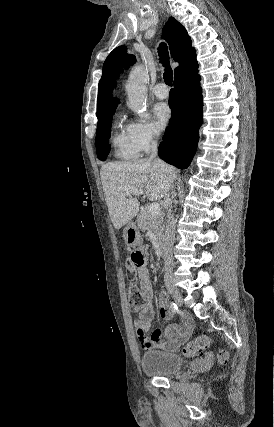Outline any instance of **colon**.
<instances>
[{"instance_id":"obj_1","label":"colon","mask_w":274,"mask_h":427,"mask_svg":"<svg viewBox=\"0 0 274 427\" xmlns=\"http://www.w3.org/2000/svg\"><path fill=\"white\" fill-rule=\"evenodd\" d=\"M130 264L127 266V271L132 274L135 266L142 265L145 262V255L143 252L136 250L131 252L129 256ZM143 301V294L141 288L138 286L135 279H131V285L129 288V300L128 306L132 309L138 308ZM146 342V341H145ZM211 344V336L208 334H200L193 340L187 342L183 347V353L185 356L190 357L198 352L207 349ZM230 358V354L226 350H220L218 353V361L220 363H226Z\"/></svg>"}]
</instances>
